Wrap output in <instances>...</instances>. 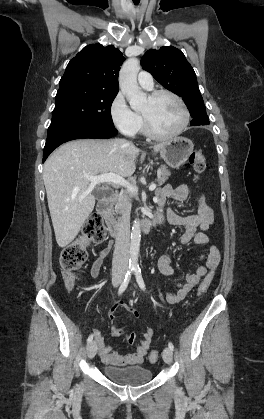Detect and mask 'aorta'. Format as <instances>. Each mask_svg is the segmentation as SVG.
<instances>
[{
	"instance_id": "obj_1",
	"label": "aorta",
	"mask_w": 264,
	"mask_h": 419,
	"mask_svg": "<svg viewBox=\"0 0 264 419\" xmlns=\"http://www.w3.org/2000/svg\"><path fill=\"white\" fill-rule=\"evenodd\" d=\"M140 70V62L137 58H129L124 62L119 73V86L126 96L133 110H138L146 103V94L143 93L137 83V74ZM141 240L140 222L134 220L131 232L130 260L131 267H138V254Z\"/></svg>"
}]
</instances>
